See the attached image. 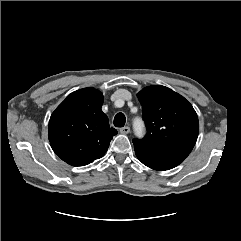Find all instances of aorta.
<instances>
[{"mask_svg": "<svg viewBox=\"0 0 241 241\" xmlns=\"http://www.w3.org/2000/svg\"><path fill=\"white\" fill-rule=\"evenodd\" d=\"M134 131H135V134L139 137H141L143 135L144 124L140 119H136L134 121Z\"/></svg>", "mask_w": 241, "mask_h": 241, "instance_id": "obj_1", "label": "aorta"}]
</instances>
